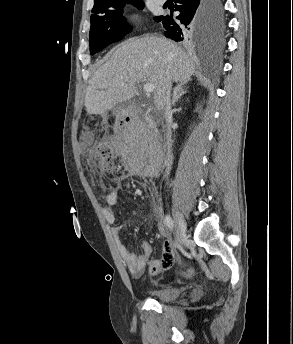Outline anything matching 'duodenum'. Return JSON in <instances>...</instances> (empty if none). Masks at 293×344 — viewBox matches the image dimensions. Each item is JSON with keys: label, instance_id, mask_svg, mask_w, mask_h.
<instances>
[{"label": "duodenum", "instance_id": "duodenum-1", "mask_svg": "<svg viewBox=\"0 0 293 344\" xmlns=\"http://www.w3.org/2000/svg\"><path fill=\"white\" fill-rule=\"evenodd\" d=\"M135 122H137V119L134 116L126 115V116L120 117L118 124L119 125L134 124ZM147 124L149 127L153 126V122L150 119H147Z\"/></svg>", "mask_w": 293, "mask_h": 344}]
</instances>
